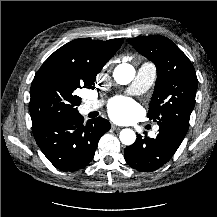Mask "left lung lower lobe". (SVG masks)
I'll return each instance as SVG.
<instances>
[{
  "label": "left lung lower lobe",
  "mask_w": 217,
  "mask_h": 217,
  "mask_svg": "<svg viewBox=\"0 0 217 217\" xmlns=\"http://www.w3.org/2000/svg\"><path fill=\"white\" fill-rule=\"evenodd\" d=\"M186 133L174 124L162 123L155 138L137 135L135 143L124 150L127 164L141 172L157 170L172 158Z\"/></svg>",
  "instance_id": "1"
}]
</instances>
